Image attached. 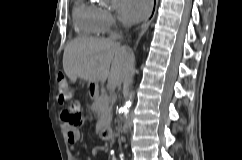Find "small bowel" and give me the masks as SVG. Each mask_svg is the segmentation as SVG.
I'll list each match as a JSON object with an SVG mask.
<instances>
[{"label":"small bowel","mask_w":242,"mask_h":160,"mask_svg":"<svg viewBox=\"0 0 242 160\" xmlns=\"http://www.w3.org/2000/svg\"><path fill=\"white\" fill-rule=\"evenodd\" d=\"M68 109H76V110H78L79 108L76 105H72ZM65 112H66V110H64L62 112V118L65 121H67V118L65 117ZM65 131H66V135H67L68 141L71 144H74V143H76L79 140V132L71 124H66Z\"/></svg>","instance_id":"small-bowel-1"}]
</instances>
